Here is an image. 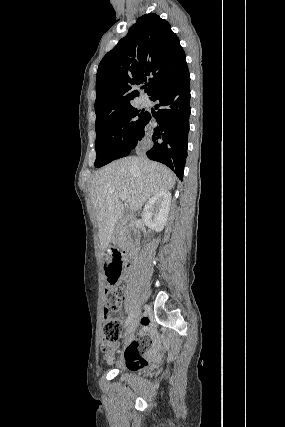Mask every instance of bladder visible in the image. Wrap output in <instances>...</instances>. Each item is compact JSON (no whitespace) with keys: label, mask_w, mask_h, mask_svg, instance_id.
I'll return each instance as SVG.
<instances>
[{"label":"bladder","mask_w":285,"mask_h":427,"mask_svg":"<svg viewBox=\"0 0 285 427\" xmlns=\"http://www.w3.org/2000/svg\"><path fill=\"white\" fill-rule=\"evenodd\" d=\"M118 371L120 372V373H123V372H126V373H133V374H138L139 372H129V371H127L126 369H123V368H119L118 369Z\"/></svg>","instance_id":"obj_1"}]
</instances>
